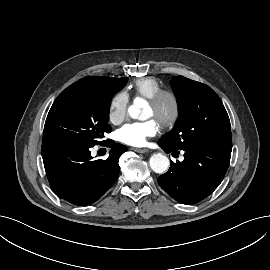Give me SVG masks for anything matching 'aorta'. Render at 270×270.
<instances>
[{"mask_svg":"<svg viewBox=\"0 0 270 270\" xmlns=\"http://www.w3.org/2000/svg\"><path fill=\"white\" fill-rule=\"evenodd\" d=\"M146 107L145 100L137 98L134 103L129 106L128 113L131 118L145 120L146 116L143 114V109ZM151 169L155 173H163L169 167V159L162 153H155L149 159Z\"/></svg>","mask_w":270,"mask_h":270,"instance_id":"762f6f07","label":"aorta"}]
</instances>
